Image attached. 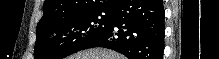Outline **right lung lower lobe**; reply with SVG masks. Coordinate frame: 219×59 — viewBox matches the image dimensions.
<instances>
[{
	"label": "right lung lower lobe",
	"mask_w": 219,
	"mask_h": 59,
	"mask_svg": "<svg viewBox=\"0 0 219 59\" xmlns=\"http://www.w3.org/2000/svg\"><path fill=\"white\" fill-rule=\"evenodd\" d=\"M165 12L162 0H116L108 28L88 42L129 59H162Z\"/></svg>",
	"instance_id": "98d812e1"
}]
</instances>
